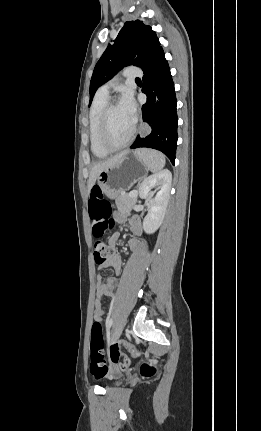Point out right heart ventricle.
Here are the masks:
<instances>
[{
  "instance_id": "right-heart-ventricle-1",
  "label": "right heart ventricle",
  "mask_w": 261,
  "mask_h": 431,
  "mask_svg": "<svg viewBox=\"0 0 261 431\" xmlns=\"http://www.w3.org/2000/svg\"><path fill=\"white\" fill-rule=\"evenodd\" d=\"M108 103V96L97 93L89 112V141L93 155L97 158H104L110 154L105 150L99 141L100 116L104 107Z\"/></svg>"
}]
</instances>
